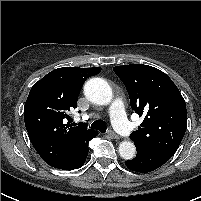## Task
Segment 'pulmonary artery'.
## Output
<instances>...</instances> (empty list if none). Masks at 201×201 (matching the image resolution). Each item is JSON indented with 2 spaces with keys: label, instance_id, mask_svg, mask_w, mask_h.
Listing matches in <instances>:
<instances>
[{
  "label": "pulmonary artery",
  "instance_id": "obj_1",
  "mask_svg": "<svg viewBox=\"0 0 201 201\" xmlns=\"http://www.w3.org/2000/svg\"><path fill=\"white\" fill-rule=\"evenodd\" d=\"M109 113L117 130L123 135H128L132 127L126 118L122 101L115 100L110 107Z\"/></svg>",
  "mask_w": 201,
  "mask_h": 201
}]
</instances>
